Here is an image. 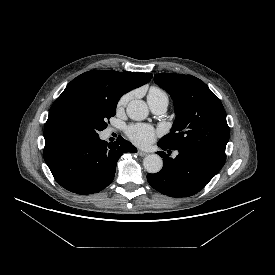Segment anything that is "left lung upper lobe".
Here are the masks:
<instances>
[{
	"instance_id": "1",
	"label": "left lung upper lobe",
	"mask_w": 275,
	"mask_h": 275,
	"mask_svg": "<svg viewBox=\"0 0 275 275\" xmlns=\"http://www.w3.org/2000/svg\"><path fill=\"white\" fill-rule=\"evenodd\" d=\"M154 81L171 95L176 113L170 133L159 142L226 160V112L209 87L191 75L162 73L156 74Z\"/></svg>"
}]
</instances>
